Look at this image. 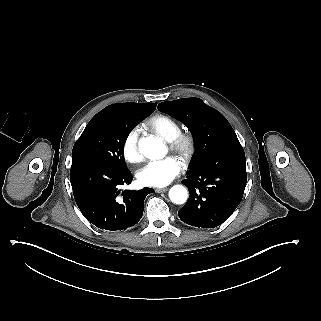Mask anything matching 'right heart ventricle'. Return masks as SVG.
<instances>
[{
	"instance_id": "e07e8e85",
	"label": "right heart ventricle",
	"mask_w": 321,
	"mask_h": 321,
	"mask_svg": "<svg viewBox=\"0 0 321 321\" xmlns=\"http://www.w3.org/2000/svg\"><path fill=\"white\" fill-rule=\"evenodd\" d=\"M150 129L166 141L172 140L181 133L182 127L178 121L164 114H156L149 118Z\"/></svg>"
}]
</instances>
